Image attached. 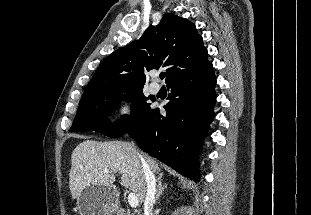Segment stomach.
<instances>
[{
  "mask_svg": "<svg viewBox=\"0 0 311 215\" xmlns=\"http://www.w3.org/2000/svg\"><path fill=\"white\" fill-rule=\"evenodd\" d=\"M80 215H114L118 210L116 190L111 186L90 185L77 199Z\"/></svg>",
  "mask_w": 311,
  "mask_h": 215,
  "instance_id": "0dacf381",
  "label": "stomach"
}]
</instances>
